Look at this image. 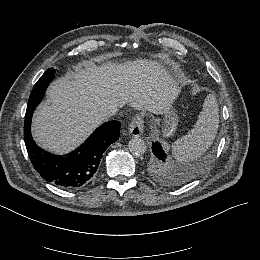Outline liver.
I'll return each mask as SVG.
<instances>
[{"instance_id":"obj_1","label":"liver","mask_w":260,"mask_h":260,"mask_svg":"<svg viewBox=\"0 0 260 260\" xmlns=\"http://www.w3.org/2000/svg\"><path fill=\"white\" fill-rule=\"evenodd\" d=\"M184 85L155 60L137 59L97 66L83 61L47 88L46 100L33 114L32 136L43 149L64 154L83 143L107 121V104L114 98L136 110L161 114Z\"/></svg>"}]
</instances>
